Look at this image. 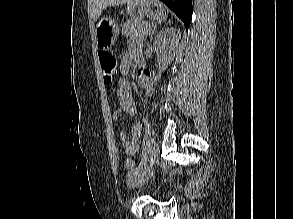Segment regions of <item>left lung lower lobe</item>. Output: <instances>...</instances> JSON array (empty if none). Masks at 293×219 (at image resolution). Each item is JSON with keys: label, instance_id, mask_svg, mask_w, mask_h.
Segmentation results:
<instances>
[{"label": "left lung lower lobe", "instance_id": "1", "mask_svg": "<svg viewBox=\"0 0 293 219\" xmlns=\"http://www.w3.org/2000/svg\"><path fill=\"white\" fill-rule=\"evenodd\" d=\"M184 22L186 29L189 28L193 7L192 0H161Z\"/></svg>", "mask_w": 293, "mask_h": 219}]
</instances>
